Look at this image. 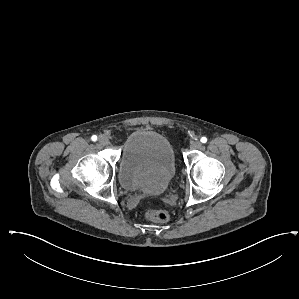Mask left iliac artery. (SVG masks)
I'll return each instance as SVG.
<instances>
[{
    "mask_svg": "<svg viewBox=\"0 0 299 299\" xmlns=\"http://www.w3.org/2000/svg\"><path fill=\"white\" fill-rule=\"evenodd\" d=\"M200 141H201L202 143H206V142H207V138H206V137H202V138L200 139Z\"/></svg>",
    "mask_w": 299,
    "mask_h": 299,
    "instance_id": "obj_1",
    "label": "left iliac artery"
}]
</instances>
